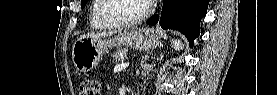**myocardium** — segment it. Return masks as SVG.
Returning <instances> with one entry per match:
<instances>
[{"instance_id":"myocardium-1","label":"myocardium","mask_w":277,"mask_h":95,"mask_svg":"<svg viewBox=\"0 0 277 95\" xmlns=\"http://www.w3.org/2000/svg\"><path fill=\"white\" fill-rule=\"evenodd\" d=\"M110 1L111 0H102L101 5L99 6V8L97 9V12H96V16L98 17V19H100L104 23L108 24L109 26L120 27V26H129V25L139 24L142 21H144L150 13V6L145 4L143 12L135 18L122 19V18L112 17V16H109L108 14H106V12H105V9Z\"/></svg>"}]
</instances>
